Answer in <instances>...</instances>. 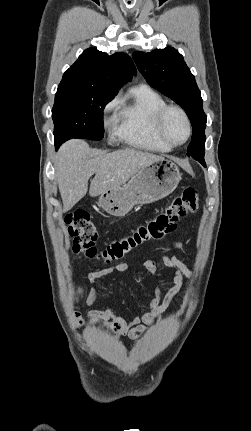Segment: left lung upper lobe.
Instances as JSON below:
<instances>
[{
    "label": "left lung upper lobe",
    "mask_w": 251,
    "mask_h": 431,
    "mask_svg": "<svg viewBox=\"0 0 251 431\" xmlns=\"http://www.w3.org/2000/svg\"><path fill=\"white\" fill-rule=\"evenodd\" d=\"M139 71L153 88L179 104L188 115L192 127V140L187 155L205 166V127L207 117L203 111L201 93L195 77L174 48L152 52H134L132 55Z\"/></svg>",
    "instance_id": "5c2ea615"
}]
</instances>
